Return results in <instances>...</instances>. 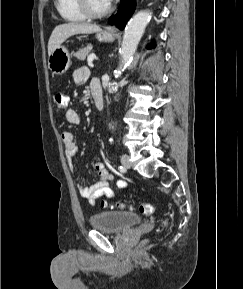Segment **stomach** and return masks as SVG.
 <instances>
[{
    "instance_id": "obj_1",
    "label": "stomach",
    "mask_w": 243,
    "mask_h": 289,
    "mask_svg": "<svg viewBox=\"0 0 243 289\" xmlns=\"http://www.w3.org/2000/svg\"><path fill=\"white\" fill-rule=\"evenodd\" d=\"M97 39L104 42H113L115 37L105 31H99ZM71 64V56L65 46L60 45L49 56L48 67L53 74L61 75L65 73Z\"/></svg>"
}]
</instances>
